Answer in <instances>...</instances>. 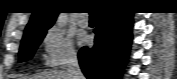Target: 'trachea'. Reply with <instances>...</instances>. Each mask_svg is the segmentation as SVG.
<instances>
[{
  "label": "trachea",
  "instance_id": "1",
  "mask_svg": "<svg viewBox=\"0 0 177 79\" xmlns=\"http://www.w3.org/2000/svg\"><path fill=\"white\" fill-rule=\"evenodd\" d=\"M90 18H96V13H90Z\"/></svg>",
  "mask_w": 177,
  "mask_h": 79
}]
</instances>
